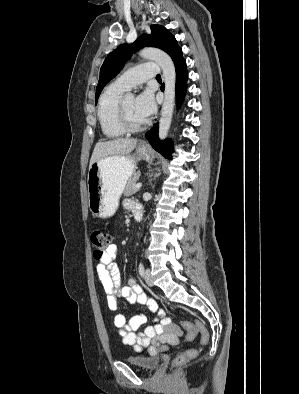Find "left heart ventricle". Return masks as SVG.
I'll return each mask as SVG.
<instances>
[{"instance_id":"left-heart-ventricle-1","label":"left heart ventricle","mask_w":299,"mask_h":394,"mask_svg":"<svg viewBox=\"0 0 299 394\" xmlns=\"http://www.w3.org/2000/svg\"><path fill=\"white\" fill-rule=\"evenodd\" d=\"M125 110L129 121L132 124L138 125L144 122L135 109L134 97L128 96L125 99Z\"/></svg>"}]
</instances>
